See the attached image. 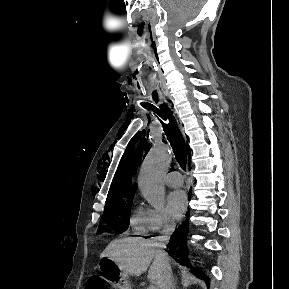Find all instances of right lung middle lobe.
I'll use <instances>...</instances> for the list:
<instances>
[{
    "instance_id": "right-lung-middle-lobe-1",
    "label": "right lung middle lobe",
    "mask_w": 289,
    "mask_h": 289,
    "mask_svg": "<svg viewBox=\"0 0 289 289\" xmlns=\"http://www.w3.org/2000/svg\"><path fill=\"white\" fill-rule=\"evenodd\" d=\"M132 200L127 199L123 202H109L105 204L104 214L100 220V230L103 231L102 223H107L116 229L117 233L124 232L129 226V212Z\"/></svg>"
}]
</instances>
